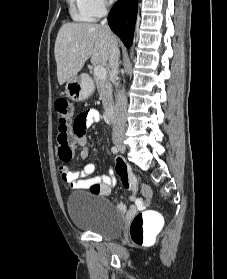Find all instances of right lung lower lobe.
<instances>
[{
    "label": "right lung lower lobe",
    "instance_id": "right-lung-lower-lobe-1",
    "mask_svg": "<svg viewBox=\"0 0 227 279\" xmlns=\"http://www.w3.org/2000/svg\"><path fill=\"white\" fill-rule=\"evenodd\" d=\"M138 0H118L108 16L111 30L117 34L126 47H130L137 16Z\"/></svg>",
    "mask_w": 227,
    "mask_h": 279
}]
</instances>
